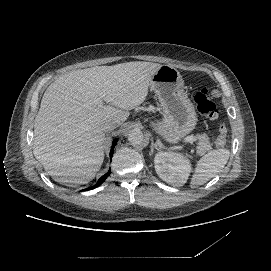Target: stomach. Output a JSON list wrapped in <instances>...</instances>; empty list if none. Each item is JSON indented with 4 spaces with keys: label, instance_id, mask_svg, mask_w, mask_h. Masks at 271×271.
<instances>
[{
    "label": "stomach",
    "instance_id": "0dacf381",
    "mask_svg": "<svg viewBox=\"0 0 271 271\" xmlns=\"http://www.w3.org/2000/svg\"><path fill=\"white\" fill-rule=\"evenodd\" d=\"M151 89L156 92L163 119L148 118L149 128L169 144H178L197 125V113L186 95L180 72L171 66H161L151 80Z\"/></svg>",
    "mask_w": 271,
    "mask_h": 271
}]
</instances>
